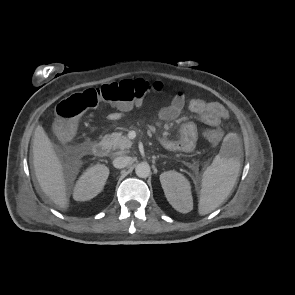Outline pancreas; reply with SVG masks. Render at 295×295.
Segmentation results:
<instances>
[{"label":"pancreas","mask_w":295,"mask_h":295,"mask_svg":"<svg viewBox=\"0 0 295 295\" xmlns=\"http://www.w3.org/2000/svg\"><path fill=\"white\" fill-rule=\"evenodd\" d=\"M104 138L114 150H119L121 154L125 153V149L132 145V142L126 136L118 132L106 135Z\"/></svg>","instance_id":"1"}]
</instances>
